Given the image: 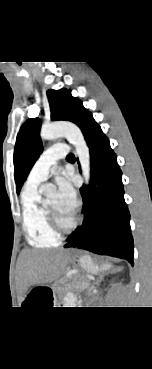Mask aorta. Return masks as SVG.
<instances>
[{
	"label": "aorta",
	"mask_w": 152,
	"mask_h": 369,
	"mask_svg": "<svg viewBox=\"0 0 152 369\" xmlns=\"http://www.w3.org/2000/svg\"><path fill=\"white\" fill-rule=\"evenodd\" d=\"M42 140H52L58 137H65L76 150L79 158L82 175L86 184L90 180V152L87 143L80 128L70 122H58L48 125H43L40 131ZM55 186L51 183L42 185L40 190L47 196L55 192Z\"/></svg>",
	"instance_id": "762f6f07"
}]
</instances>
